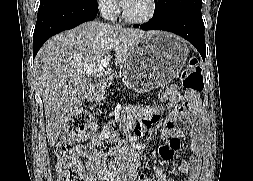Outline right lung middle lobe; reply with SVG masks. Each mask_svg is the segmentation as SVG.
I'll return each instance as SVG.
<instances>
[{"label": "right lung middle lobe", "mask_w": 253, "mask_h": 181, "mask_svg": "<svg viewBox=\"0 0 253 181\" xmlns=\"http://www.w3.org/2000/svg\"><path fill=\"white\" fill-rule=\"evenodd\" d=\"M75 3H84L92 8H98L97 0H40V6L38 13L53 9L56 7L75 4Z\"/></svg>", "instance_id": "obj_1"}]
</instances>
